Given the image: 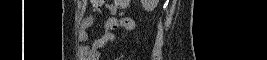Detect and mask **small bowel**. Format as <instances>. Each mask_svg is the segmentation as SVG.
Wrapping results in <instances>:
<instances>
[{
  "instance_id": "c3829d8e",
  "label": "small bowel",
  "mask_w": 267,
  "mask_h": 60,
  "mask_svg": "<svg viewBox=\"0 0 267 60\" xmlns=\"http://www.w3.org/2000/svg\"><path fill=\"white\" fill-rule=\"evenodd\" d=\"M128 4V3H127ZM127 4L123 5V7H125ZM103 8L108 9L112 14H117L119 12V10L121 9L117 4H102ZM102 11L101 9H99L98 11H96L95 13L87 16L86 18H84L83 22H82V28L80 31V39L81 40H87L88 39V28L100 17ZM120 21L122 23H124L123 27L129 29L132 27V21L128 18H120L117 19L115 17H111L108 18L105 26H104V33L94 39L90 45L86 46L84 48V51L91 55V56H97L99 51L108 43L110 42H114L117 39L116 34L113 32V28L110 26V23L113 21Z\"/></svg>"
}]
</instances>
